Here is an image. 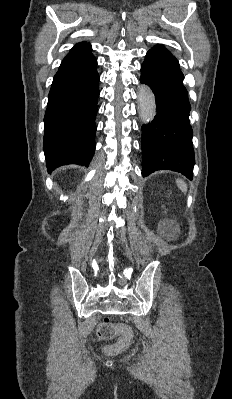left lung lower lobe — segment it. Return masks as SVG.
Returning a JSON list of instances; mask_svg holds the SVG:
<instances>
[{
    "instance_id": "obj_1",
    "label": "left lung lower lobe",
    "mask_w": 232,
    "mask_h": 399,
    "mask_svg": "<svg viewBox=\"0 0 232 399\" xmlns=\"http://www.w3.org/2000/svg\"><path fill=\"white\" fill-rule=\"evenodd\" d=\"M183 79L178 60L164 46L147 52L140 82L152 89L157 113L150 124L142 126L143 177L157 170H172L193 179L191 105Z\"/></svg>"
}]
</instances>
